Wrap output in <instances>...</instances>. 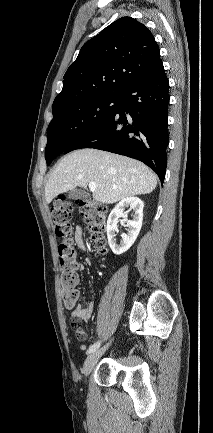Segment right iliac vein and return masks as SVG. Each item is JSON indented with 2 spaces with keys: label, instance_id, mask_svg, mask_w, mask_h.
I'll use <instances>...</instances> for the list:
<instances>
[{
  "label": "right iliac vein",
  "instance_id": "1",
  "mask_svg": "<svg viewBox=\"0 0 213 433\" xmlns=\"http://www.w3.org/2000/svg\"><path fill=\"white\" fill-rule=\"evenodd\" d=\"M108 346H109V344H107L106 346L102 347L101 349L94 351L91 354H89V356L86 358V360L84 362L83 370H82V372L85 376H88L90 374V372L93 370V368L97 364L99 358L106 351Z\"/></svg>",
  "mask_w": 213,
  "mask_h": 433
}]
</instances>
